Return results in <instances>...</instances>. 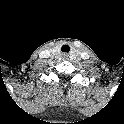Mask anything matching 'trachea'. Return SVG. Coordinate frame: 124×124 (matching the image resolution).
I'll return each instance as SVG.
<instances>
[{
  "label": "trachea",
  "instance_id": "trachea-1",
  "mask_svg": "<svg viewBox=\"0 0 124 124\" xmlns=\"http://www.w3.org/2000/svg\"><path fill=\"white\" fill-rule=\"evenodd\" d=\"M61 51H62V52H65V53H69V51H70L69 45H67V44L63 45V46L61 47Z\"/></svg>",
  "mask_w": 124,
  "mask_h": 124
}]
</instances>
